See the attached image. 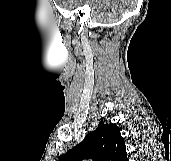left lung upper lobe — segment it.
<instances>
[{
	"mask_svg": "<svg viewBox=\"0 0 171 161\" xmlns=\"http://www.w3.org/2000/svg\"><path fill=\"white\" fill-rule=\"evenodd\" d=\"M128 161L125 141L116 124L100 123L96 130L73 149L63 154L59 161Z\"/></svg>",
	"mask_w": 171,
	"mask_h": 161,
	"instance_id": "5c2ea615",
	"label": "left lung upper lobe"
}]
</instances>
